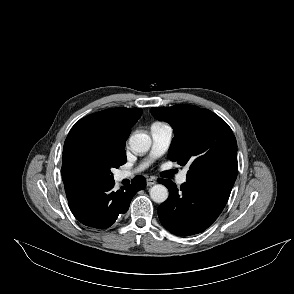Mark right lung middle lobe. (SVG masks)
I'll list each match as a JSON object with an SVG mask.
<instances>
[{"instance_id": "obj_1", "label": "right lung middle lobe", "mask_w": 294, "mask_h": 294, "mask_svg": "<svg viewBox=\"0 0 294 294\" xmlns=\"http://www.w3.org/2000/svg\"><path fill=\"white\" fill-rule=\"evenodd\" d=\"M126 162L125 147L82 143L62 157L65 186H90L113 179L111 168Z\"/></svg>"}]
</instances>
